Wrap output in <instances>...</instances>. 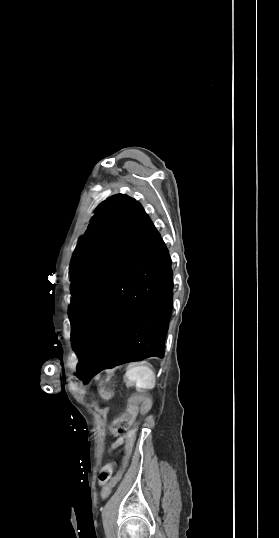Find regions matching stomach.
Here are the masks:
<instances>
[{
	"instance_id": "obj_1",
	"label": "stomach",
	"mask_w": 279,
	"mask_h": 538,
	"mask_svg": "<svg viewBox=\"0 0 279 538\" xmlns=\"http://www.w3.org/2000/svg\"><path fill=\"white\" fill-rule=\"evenodd\" d=\"M100 393L104 401L111 402L115 398V393L113 390H110L109 387L104 386L101 388Z\"/></svg>"
}]
</instances>
